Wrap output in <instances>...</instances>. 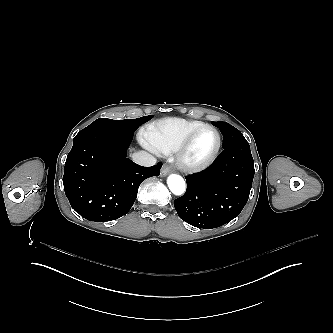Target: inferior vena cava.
Wrapping results in <instances>:
<instances>
[{
    "label": "inferior vena cava",
    "mask_w": 333,
    "mask_h": 333,
    "mask_svg": "<svg viewBox=\"0 0 333 333\" xmlns=\"http://www.w3.org/2000/svg\"><path fill=\"white\" fill-rule=\"evenodd\" d=\"M132 160L138 165L150 167L156 164V158L146 151H139L132 154Z\"/></svg>",
    "instance_id": "obj_1"
}]
</instances>
